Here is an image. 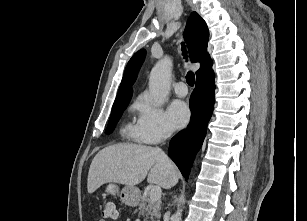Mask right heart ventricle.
I'll list each match as a JSON object with an SVG mask.
<instances>
[{"label": "right heart ventricle", "instance_id": "1", "mask_svg": "<svg viewBox=\"0 0 307 221\" xmlns=\"http://www.w3.org/2000/svg\"><path fill=\"white\" fill-rule=\"evenodd\" d=\"M132 109L133 110L137 109V104L132 105ZM123 133L130 136L132 139L138 142H142L139 138L137 124H134L132 122L127 123L123 129Z\"/></svg>", "mask_w": 307, "mask_h": 221}]
</instances>
